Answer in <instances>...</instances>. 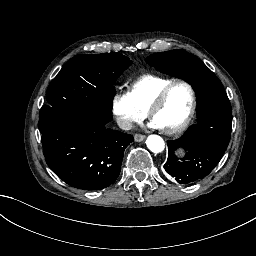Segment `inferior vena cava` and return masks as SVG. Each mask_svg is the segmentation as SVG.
<instances>
[{
	"label": "inferior vena cava",
	"mask_w": 256,
	"mask_h": 256,
	"mask_svg": "<svg viewBox=\"0 0 256 256\" xmlns=\"http://www.w3.org/2000/svg\"><path fill=\"white\" fill-rule=\"evenodd\" d=\"M116 123L122 130H130L132 128V123L123 116H118L116 118Z\"/></svg>",
	"instance_id": "inferior-vena-cava-1"
}]
</instances>
